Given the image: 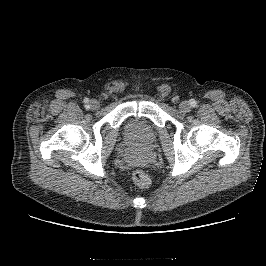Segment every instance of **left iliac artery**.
Segmentation results:
<instances>
[{
    "label": "left iliac artery",
    "mask_w": 266,
    "mask_h": 266,
    "mask_svg": "<svg viewBox=\"0 0 266 266\" xmlns=\"http://www.w3.org/2000/svg\"><path fill=\"white\" fill-rule=\"evenodd\" d=\"M191 106H195V101H192L191 102Z\"/></svg>",
    "instance_id": "obj_1"
}]
</instances>
